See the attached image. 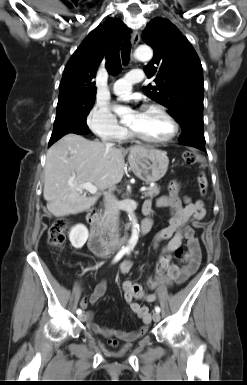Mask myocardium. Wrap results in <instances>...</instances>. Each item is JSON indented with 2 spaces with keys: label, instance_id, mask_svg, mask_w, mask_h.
<instances>
[{
  "label": "myocardium",
  "instance_id": "f54148a6",
  "mask_svg": "<svg viewBox=\"0 0 247 385\" xmlns=\"http://www.w3.org/2000/svg\"><path fill=\"white\" fill-rule=\"evenodd\" d=\"M142 110H156L159 113H161L170 123L171 132L165 138L150 139V138H147V137L139 134L135 129H133L132 127L129 126V131L134 138H136L142 142L148 143V144L160 145V144H166V143L171 142L177 136L178 131H179V125H178L177 121L175 120V118L167 111V109L164 106H162L160 104H146L142 107Z\"/></svg>",
  "mask_w": 247,
  "mask_h": 385
}]
</instances>
